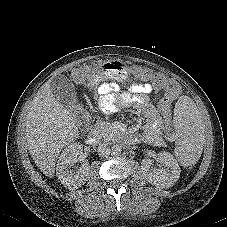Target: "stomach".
I'll return each mask as SVG.
<instances>
[{"mask_svg": "<svg viewBox=\"0 0 227 227\" xmlns=\"http://www.w3.org/2000/svg\"><path fill=\"white\" fill-rule=\"evenodd\" d=\"M130 76L127 73V65L122 60L107 61L102 66V71L95 76L94 81L101 84L105 81L127 82Z\"/></svg>", "mask_w": 227, "mask_h": 227, "instance_id": "1", "label": "stomach"}]
</instances>
